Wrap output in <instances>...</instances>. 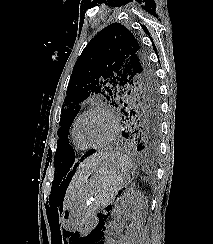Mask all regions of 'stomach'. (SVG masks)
I'll return each mask as SVG.
<instances>
[{"label": "stomach", "mask_w": 213, "mask_h": 244, "mask_svg": "<svg viewBox=\"0 0 213 244\" xmlns=\"http://www.w3.org/2000/svg\"><path fill=\"white\" fill-rule=\"evenodd\" d=\"M103 153L107 155L100 159L61 214V224L68 231L86 228L98 210L114 201L129 179V168L122 159L124 149H104Z\"/></svg>", "instance_id": "obj_1"}]
</instances>
